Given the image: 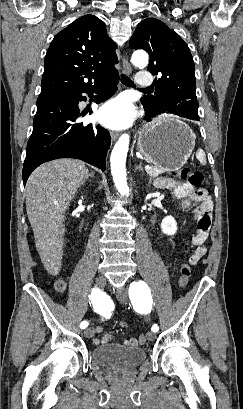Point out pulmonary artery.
Instances as JSON below:
<instances>
[{"instance_id":"obj_1","label":"pulmonary artery","mask_w":243,"mask_h":409,"mask_svg":"<svg viewBox=\"0 0 243 409\" xmlns=\"http://www.w3.org/2000/svg\"><path fill=\"white\" fill-rule=\"evenodd\" d=\"M153 83L151 74L147 71H141L136 77V85L139 87H147Z\"/></svg>"}]
</instances>
